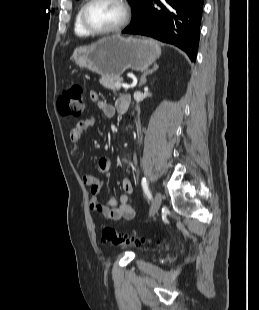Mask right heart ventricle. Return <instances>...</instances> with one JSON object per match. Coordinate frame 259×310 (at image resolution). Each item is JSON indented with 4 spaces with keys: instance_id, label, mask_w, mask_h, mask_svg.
Instances as JSON below:
<instances>
[{
    "instance_id": "obj_1",
    "label": "right heart ventricle",
    "mask_w": 259,
    "mask_h": 310,
    "mask_svg": "<svg viewBox=\"0 0 259 310\" xmlns=\"http://www.w3.org/2000/svg\"><path fill=\"white\" fill-rule=\"evenodd\" d=\"M81 8H79V10L76 13L75 19H74V32L77 36L79 37H88L91 34H89L84 27L81 24V20H80V13H81Z\"/></svg>"
}]
</instances>
